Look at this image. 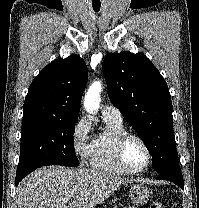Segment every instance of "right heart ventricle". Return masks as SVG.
Segmentation results:
<instances>
[{"mask_svg": "<svg viewBox=\"0 0 199 208\" xmlns=\"http://www.w3.org/2000/svg\"><path fill=\"white\" fill-rule=\"evenodd\" d=\"M105 129L95 136L92 141V149L89 156V164L92 169L116 173L128 174L122 169L115 158V145L121 135L127 132L123 121L118 122L109 118H103Z\"/></svg>", "mask_w": 199, "mask_h": 208, "instance_id": "e07e8e85", "label": "right heart ventricle"}]
</instances>
